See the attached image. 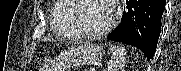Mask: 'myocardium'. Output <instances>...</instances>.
Returning a JSON list of instances; mask_svg holds the SVG:
<instances>
[{"label": "myocardium", "instance_id": "obj_1", "mask_svg": "<svg viewBox=\"0 0 181 71\" xmlns=\"http://www.w3.org/2000/svg\"><path fill=\"white\" fill-rule=\"evenodd\" d=\"M64 1H67V2L71 3V5H72V12H71V16H70L71 26L78 37L84 38V39H98L103 36H106L114 29V27L116 25V16H115L114 7L111 4V1L103 0L108 5L110 12H111L109 23L103 29H101L99 31H95V32L84 29L79 22L78 14H79L80 8H81L79 1H81V0H64Z\"/></svg>", "mask_w": 181, "mask_h": 71}]
</instances>
